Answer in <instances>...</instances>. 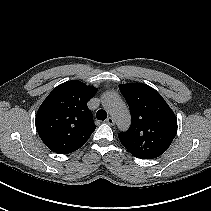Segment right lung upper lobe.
<instances>
[{"instance_id":"right-lung-upper-lobe-1","label":"right lung upper lobe","mask_w":211,"mask_h":211,"mask_svg":"<svg viewBox=\"0 0 211 211\" xmlns=\"http://www.w3.org/2000/svg\"><path fill=\"white\" fill-rule=\"evenodd\" d=\"M97 89L78 80L58 85L43 101L36 115V129L44 144L59 154L82 147L94 132L87 101Z\"/></svg>"}]
</instances>
